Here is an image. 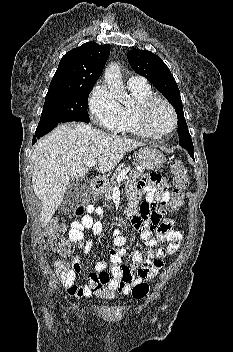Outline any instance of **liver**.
Wrapping results in <instances>:
<instances>
[{"mask_svg":"<svg viewBox=\"0 0 233 352\" xmlns=\"http://www.w3.org/2000/svg\"><path fill=\"white\" fill-rule=\"evenodd\" d=\"M142 145L84 123L61 124L39 140L32 154V184L42 202L41 226L49 223L62 203L69 180L88 173L89 159H97V171L107 173L127 152Z\"/></svg>","mask_w":233,"mask_h":352,"instance_id":"1","label":"liver"}]
</instances>
